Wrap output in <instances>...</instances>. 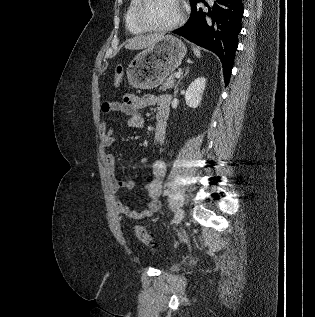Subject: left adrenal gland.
<instances>
[{
	"label": "left adrenal gland",
	"mask_w": 315,
	"mask_h": 317,
	"mask_svg": "<svg viewBox=\"0 0 315 317\" xmlns=\"http://www.w3.org/2000/svg\"><path fill=\"white\" fill-rule=\"evenodd\" d=\"M189 73V67L186 68V71L184 73V75L179 79V81L177 82L176 86H175V91H174V96L177 95L178 92V85L181 83V80Z\"/></svg>",
	"instance_id": "a2214340"
}]
</instances>
